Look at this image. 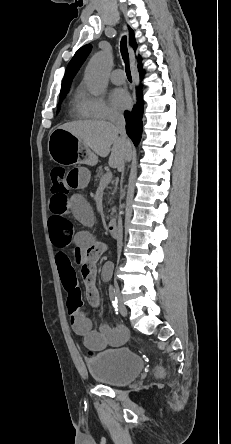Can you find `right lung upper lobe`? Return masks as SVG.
Wrapping results in <instances>:
<instances>
[{
    "label": "right lung upper lobe",
    "instance_id": "obj_1",
    "mask_svg": "<svg viewBox=\"0 0 231 444\" xmlns=\"http://www.w3.org/2000/svg\"><path fill=\"white\" fill-rule=\"evenodd\" d=\"M129 41H130V45L132 46V48L135 50L137 47L136 44V40L134 37V32L131 28H129ZM92 46L90 44L84 45L83 47H81L73 56V58L71 59V61L69 62L65 75H64V79L62 82V86H61V90H66L70 88L72 79L74 78V76L76 75V73L78 72L79 68L81 67V65L83 64V62L85 61V59L87 58L88 54L91 51ZM141 57L138 56V67L141 70Z\"/></svg>",
    "mask_w": 231,
    "mask_h": 444
}]
</instances>
